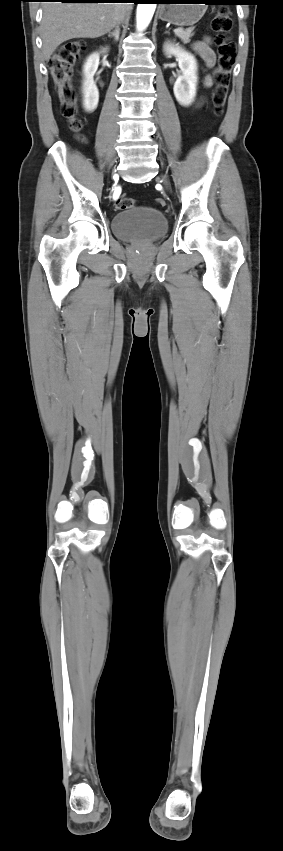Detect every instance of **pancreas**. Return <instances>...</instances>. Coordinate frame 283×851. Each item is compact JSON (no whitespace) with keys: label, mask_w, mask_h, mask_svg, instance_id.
<instances>
[{"label":"pancreas","mask_w":283,"mask_h":851,"mask_svg":"<svg viewBox=\"0 0 283 851\" xmlns=\"http://www.w3.org/2000/svg\"><path fill=\"white\" fill-rule=\"evenodd\" d=\"M178 32H175V35L183 41V43H190V38L193 35V28L182 29Z\"/></svg>","instance_id":"obj_1"}]
</instances>
